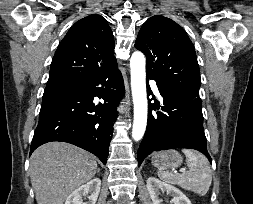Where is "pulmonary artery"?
<instances>
[{"mask_svg":"<svg viewBox=\"0 0 253 204\" xmlns=\"http://www.w3.org/2000/svg\"><path fill=\"white\" fill-rule=\"evenodd\" d=\"M151 85H152V88H153L154 93H155L157 96H160L159 90H158V88H157V86H156V84H155L154 81L151 82Z\"/></svg>","mask_w":253,"mask_h":204,"instance_id":"pulmonary-artery-1","label":"pulmonary artery"}]
</instances>
